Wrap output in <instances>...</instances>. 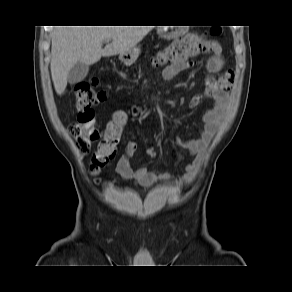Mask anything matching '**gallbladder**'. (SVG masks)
Instances as JSON below:
<instances>
[{"label": "gallbladder", "mask_w": 292, "mask_h": 292, "mask_svg": "<svg viewBox=\"0 0 292 292\" xmlns=\"http://www.w3.org/2000/svg\"><path fill=\"white\" fill-rule=\"evenodd\" d=\"M89 72V65L78 62L69 71L67 81L70 84L81 82Z\"/></svg>", "instance_id": "bac80fb5"}]
</instances>
